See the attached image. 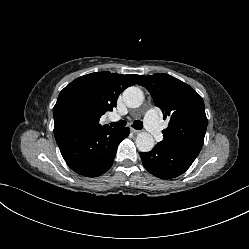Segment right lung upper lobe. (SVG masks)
Listing matches in <instances>:
<instances>
[{"instance_id": "1", "label": "right lung upper lobe", "mask_w": 249, "mask_h": 249, "mask_svg": "<svg viewBox=\"0 0 249 249\" xmlns=\"http://www.w3.org/2000/svg\"><path fill=\"white\" fill-rule=\"evenodd\" d=\"M143 77L97 72L75 79L60 92L53 108L54 133L64 130L97 132L111 128L100 125V117L116 107L121 92L139 84Z\"/></svg>"}]
</instances>
